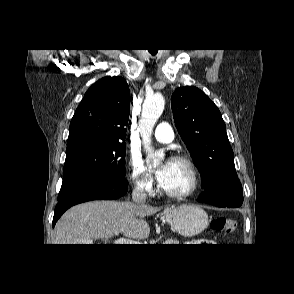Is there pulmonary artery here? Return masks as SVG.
Here are the masks:
<instances>
[{
    "mask_svg": "<svg viewBox=\"0 0 294 294\" xmlns=\"http://www.w3.org/2000/svg\"><path fill=\"white\" fill-rule=\"evenodd\" d=\"M154 137L158 142L169 143L173 140L174 134L169 123H159L154 132Z\"/></svg>",
    "mask_w": 294,
    "mask_h": 294,
    "instance_id": "e3ab8cb5",
    "label": "pulmonary artery"
}]
</instances>
